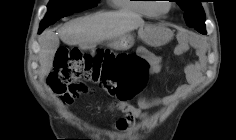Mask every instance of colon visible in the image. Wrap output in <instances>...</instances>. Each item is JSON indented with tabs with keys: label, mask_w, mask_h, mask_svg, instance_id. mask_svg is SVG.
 Returning a JSON list of instances; mask_svg holds the SVG:
<instances>
[{
	"label": "colon",
	"mask_w": 236,
	"mask_h": 140,
	"mask_svg": "<svg viewBox=\"0 0 236 140\" xmlns=\"http://www.w3.org/2000/svg\"><path fill=\"white\" fill-rule=\"evenodd\" d=\"M148 73V63L139 56L109 50L86 54L76 47L64 46L56 53L48 84L63 100L88 93L87 83H93L116 102H124L144 89Z\"/></svg>",
	"instance_id": "1"
}]
</instances>
